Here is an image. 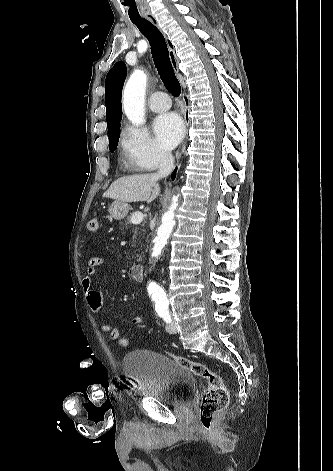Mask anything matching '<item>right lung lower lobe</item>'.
<instances>
[{"mask_svg":"<svg viewBox=\"0 0 333 471\" xmlns=\"http://www.w3.org/2000/svg\"><path fill=\"white\" fill-rule=\"evenodd\" d=\"M175 176H176V169H175V171L173 172V174L171 175V178L174 180Z\"/></svg>","mask_w":333,"mask_h":471,"instance_id":"1","label":"right lung lower lobe"}]
</instances>
